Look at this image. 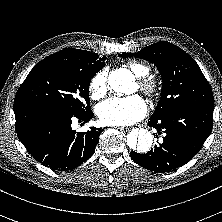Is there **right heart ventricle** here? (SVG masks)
<instances>
[{
    "label": "right heart ventricle",
    "mask_w": 222,
    "mask_h": 222,
    "mask_svg": "<svg viewBox=\"0 0 222 222\" xmlns=\"http://www.w3.org/2000/svg\"><path fill=\"white\" fill-rule=\"evenodd\" d=\"M127 67L137 76L144 77L147 76L150 69L147 65L138 61H129Z\"/></svg>",
    "instance_id": "e07e8e85"
}]
</instances>
